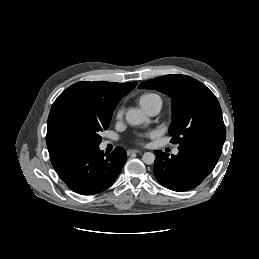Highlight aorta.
<instances>
[{
  "mask_svg": "<svg viewBox=\"0 0 259 259\" xmlns=\"http://www.w3.org/2000/svg\"><path fill=\"white\" fill-rule=\"evenodd\" d=\"M125 117L126 121L133 126L149 123V119L145 116L144 112L136 108L129 109ZM142 160L145 164H153L155 160V154L152 152H145L142 156Z\"/></svg>",
  "mask_w": 259,
  "mask_h": 259,
  "instance_id": "1",
  "label": "aorta"
}]
</instances>
